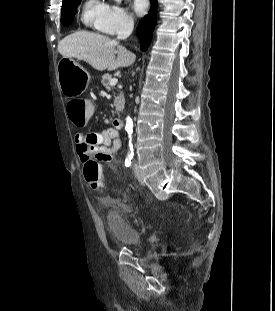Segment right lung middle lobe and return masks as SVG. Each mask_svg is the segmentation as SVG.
I'll return each mask as SVG.
<instances>
[{
  "mask_svg": "<svg viewBox=\"0 0 275 311\" xmlns=\"http://www.w3.org/2000/svg\"><path fill=\"white\" fill-rule=\"evenodd\" d=\"M81 0H64L62 4L61 22L63 25H69L76 13L77 6Z\"/></svg>",
  "mask_w": 275,
  "mask_h": 311,
  "instance_id": "1",
  "label": "right lung middle lobe"
}]
</instances>
